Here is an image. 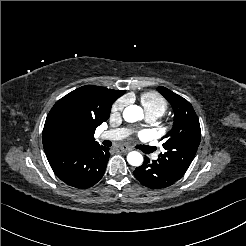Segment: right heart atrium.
I'll list each match as a JSON object with an SVG mask.
<instances>
[{
	"label": "right heart atrium",
	"mask_w": 246,
	"mask_h": 246,
	"mask_svg": "<svg viewBox=\"0 0 246 246\" xmlns=\"http://www.w3.org/2000/svg\"><path fill=\"white\" fill-rule=\"evenodd\" d=\"M129 98L127 96H122L118 98L111 106L110 113L112 117H119L122 115L124 109L129 103Z\"/></svg>",
	"instance_id": "obj_1"
}]
</instances>
